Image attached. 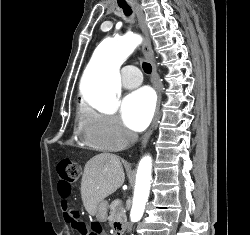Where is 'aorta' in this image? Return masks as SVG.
I'll return each mask as SVG.
<instances>
[{"label":"aorta","mask_w":250,"mask_h":235,"mask_svg":"<svg viewBox=\"0 0 250 235\" xmlns=\"http://www.w3.org/2000/svg\"><path fill=\"white\" fill-rule=\"evenodd\" d=\"M137 34H128L118 42L104 40L96 48L86 69V83L82 90L85 99L92 105L110 108L117 102L120 91L119 65L141 43ZM152 158L143 157L138 165L133 205L132 222H138L144 213L152 180Z\"/></svg>","instance_id":"762f6f07"}]
</instances>
